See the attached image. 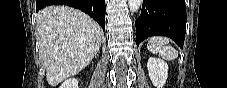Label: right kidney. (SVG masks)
<instances>
[{"mask_svg":"<svg viewBox=\"0 0 227 88\" xmlns=\"http://www.w3.org/2000/svg\"><path fill=\"white\" fill-rule=\"evenodd\" d=\"M78 80L76 78H70L65 80L59 88H78Z\"/></svg>","mask_w":227,"mask_h":88,"instance_id":"ca27d5eb","label":"right kidney"}]
</instances>
